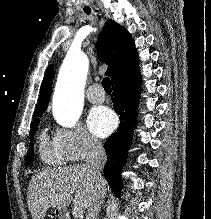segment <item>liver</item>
I'll use <instances>...</instances> for the list:
<instances>
[{"label":"liver","instance_id":"1","mask_svg":"<svg viewBox=\"0 0 211 219\" xmlns=\"http://www.w3.org/2000/svg\"><path fill=\"white\" fill-rule=\"evenodd\" d=\"M94 197V183L86 165L78 164L47 169L33 176L28 186L27 204L33 219H44L49 208L64 210L71 201L75 207L87 210Z\"/></svg>","mask_w":211,"mask_h":219}]
</instances>
